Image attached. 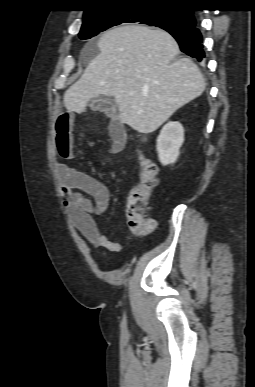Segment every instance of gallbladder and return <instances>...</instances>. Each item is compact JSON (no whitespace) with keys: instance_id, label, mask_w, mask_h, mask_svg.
Segmentation results:
<instances>
[{"instance_id":"1","label":"gallbladder","mask_w":255,"mask_h":387,"mask_svg":"<svg viewBox=\"0 0 255 387\" xmlns=\"http://www.w3.org/2000/svg\"><path fill=\"white\" fill-rule=\"evenodd\" d=\"M115 105V100L112 97L99 96L94 98L90 104L93 110L107 112Z\"/></svg>"}]
</instances>
